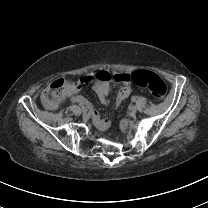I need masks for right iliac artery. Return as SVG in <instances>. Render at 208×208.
Segmentation results:
<instances>
[{
  "instance_id": "82829eb1",
  "label": "right iliac artery",
  "mask_w": 208,
  "mask_h": 208,
  "mask_svg": "<svg viewBox=\"0 0 208 208\" xmlns=\"http://www.w3.org/2000/svg\"><path fill=\"white\" fill-rule=\"evenodd\" d=\"M79 106L83 109L85 108L84 104L83 103H80Z\"/></svg>"
}]
</instances>
